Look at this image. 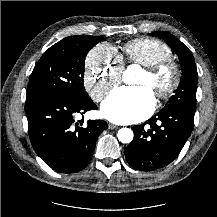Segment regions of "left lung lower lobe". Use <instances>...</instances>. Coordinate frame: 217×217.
Segmentation results:
<instances>
[{
    "instance_id": "left-lung-lower-lobe-1",
    "label": "left lung lower lobe",
    "mask_w": 217,
    "mask_h": 217,
    "mask_svg": "<svg viewBox=\"0 0 217 217\" xmlns=\"http://www.w3.org/2000/svg\"><path fill=\"white\" fill-rule=\"evenodd\" d=\"M194 114L195 110L172 108L134 126V139L125 148L130 166L140 171H153L170 164L192 132ZM146 124L149 129H145Z\"/></svg>"
}]
</instances>
